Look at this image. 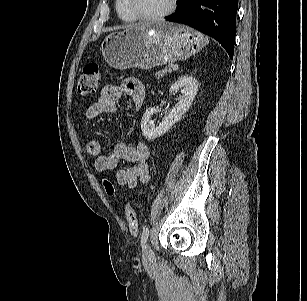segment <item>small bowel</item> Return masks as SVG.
I'll return each mask as SVG.
<instances>
[{"label":"small bowel","mask_w":307,"mask_h":301,"mask_svg":"<svg viewBox=\"0 0 307 301\" xmlns=\"http://www.w3.org/2000/svg\"><path fill=\"white\" fill-rule=\"evenodd\" d=\"M123 96L129 97L136 109L140 108L145 96L144 85L139 80L130 78L121 85L104 86L98 100L87 108L86 118L93 120L102 114L116 112L117 103ZM87 151L94 157V167L98 172L107 173L117 169L115 178L120 186L132 189L139 182L145 183L149 179L150 149L142 141L119 143L112 153L104 154L100 142L91 140L87 144ZM120 161L133 165L117 168Z\"/></svg>","instance_id":"c3829d8e"}]
</instances>
